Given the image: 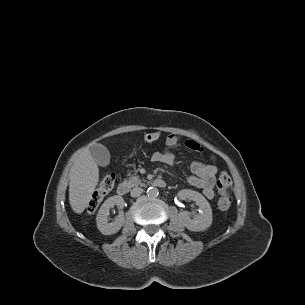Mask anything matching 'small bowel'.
<instances>
[{"mask_svg":"<svg viewBox=\"0 0 305 305\" xmlns=\"http://www.w3.org/2000/svg\"><path fill=\"white\" fill-rule=\"evenodd\" d=\"M180 141L181 139L178 135L169 134L165 139L166 150L163 152H154L151 155V161L172 165L175 162V155L171 150L178 147ZM193 142L197 145V148L192 150H202L197 142ZM190 170L191 176L188 178L189 184L200 189L207 199H212L214 197V183L217 172L215 164L195 161L191 164Z\"/></svg>","mask_w":305,"mask_h":305,"instance_id":"obj_1","label":"small bowel"}]
</instances>
